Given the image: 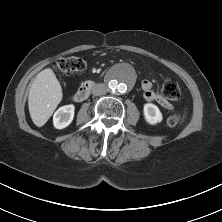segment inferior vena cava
<instances>
[{"mask_svg":"<svg viewBox=\"0 0 222 222\" xmlns=\"http://www.w3.org/2000/svg\"><path fill=\"white\" fill-rule=\"evenodd\" d=\"M106 92H107V87L102 83L96 84L92 88V94L95 96L104 95Z\"/></svg>","mask_w":222,"mask_h":222,"instance_id":"obj_1","label":"inferior vena cava"}]
</instances>
